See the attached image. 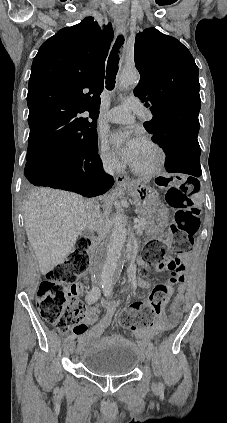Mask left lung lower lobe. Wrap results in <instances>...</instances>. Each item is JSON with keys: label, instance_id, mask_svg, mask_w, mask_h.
Wrapping results in <instances>:
<instances>
[{"label": "left lung lower lobe", "instance_id": "1", "mask_svg": "<svg viewBox=\"0 0 227 423\" xmlns=\"http://www.w3.org/2000/svg\"><path fill=\"white\" fill-rule=\"evenodd\" d=\"M199 127L200 125L188 124L176 132L165 134L154 140L166 153L167 172H180L195 177L201 175V149L197 140Z\"/></svg>", "mask_w": 227, "mask_h": 423}]
</instances>
